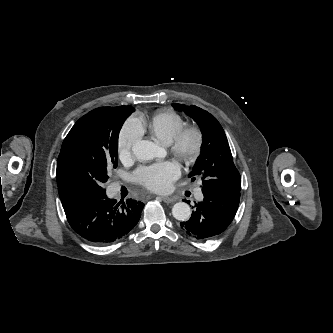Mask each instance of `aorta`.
<instances>
[{"instance_id":"aorta-1","label":"aorta","mask_w":333,"mask_h":333,"mask_svg":"<svg viewBox=\"0 0 333 333\" xmlns=\"http://www.w3.org/2000/svg\"><path fill=\"white\" fill-rule=\"evenodd\" d=\"M133 154L141 160H151L157 155V146L149 140L137 141L132 147ZM173 217L180 221H186L191 215V209L185 202H178L172 208Z\"/></svg>"}]
</instances>
